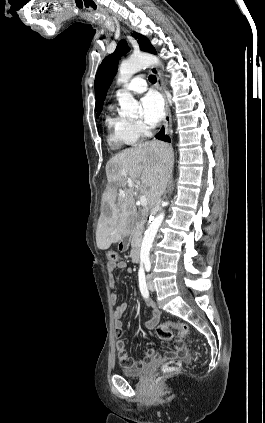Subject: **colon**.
<instances>
[{"label":"colon","mask_w":265,"mask_h":423,"mask_svg":"<svg viewBox=\"0 0 265 423\" xmlns=\"http://www.w3.org/2000/svg\"><path fill=\"white\" fill-rule=\"evenodd\" d=\"M107 260L109 263H116L118 261V254L114 250H109L107 252ZM172 329H175L179 337H185L189 333V327L185 323H176L172 321H165L157 326V335L160 339L164 341H169L173 337ZM183 355H186L185 350L182 351ZM126 366V365H124ZM180 367V362L178 360H170L166 362L162 368L161 372L163 374H168L175 372Z\"/></svg>","instance_id":"1"}]
</instances>
